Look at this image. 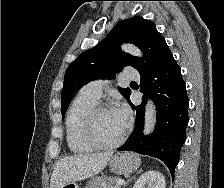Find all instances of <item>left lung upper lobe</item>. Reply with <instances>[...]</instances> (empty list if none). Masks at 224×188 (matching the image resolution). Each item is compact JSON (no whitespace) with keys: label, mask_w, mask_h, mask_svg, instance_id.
Returning a JSON list of instances; mask_svg holds the SVG:
<instances>
[{"label":"left lung upper lobe","mask_w":224,"mask_h":188,"mask_svg":"<svg viewBox=\"0 0 224 188\" xmlns=\"http://www.w3.org/2000/svg\"><path fill=\"white\" fill-rule=\"evenodd\" d=\"M124 42L138 46L144 52L143 58L120 51L119 46ZM171 55L164 37L153 22L139 16L118 22L97 46L83 52L68 66L61 94L62 116L75 93L88 82L112 78L125 66H132L144 75ZM120 92L129 102L131 89L120 88Z\"/></svg>","instance_id":"5c2ea615"}]
</instances>
